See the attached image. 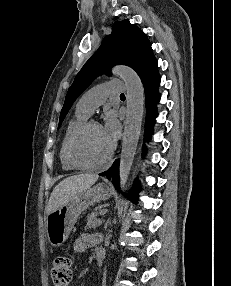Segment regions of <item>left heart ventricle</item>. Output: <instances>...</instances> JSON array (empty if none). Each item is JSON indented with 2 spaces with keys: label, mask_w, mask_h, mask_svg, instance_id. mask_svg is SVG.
Here are the masks:
<instances>
[{
  "label": "left heart ventricle",
  "mask_w": 231,
  "mask_h": 286,
  "mask_svg": "<svg viewBox=\"0 0 231 286\" xmlns=\"http://www.w3.org/2000/svg\"><path fill=\"white\" fill-rule=\"evenodd\" d=\"M112 145L101 126H91L79 139L76 152L85 161H98L104 158Z\"/></svg>",
  "instance_id": "b2bd125f"
}]
</instances>
